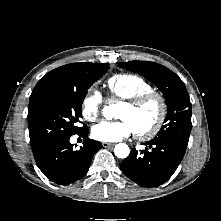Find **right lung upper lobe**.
<instances>
[{
    "label": "right lung upper lobe",
    "mask_w": 221,
    "mask_h": 221,
    "mask_svg": "<svg viewBox=\"0 0 221 221\" xmlns=\"http://www.w3.org/2000/svg\"><path fill=\"white\" fill-rule=\"evenodd\" d=\"M80 64L82 63L58 67L42 77L32 91L29 107L49 89L75 78L78 75Z\"/></svg>",
    "instance_id": "right-lung-upper-lobe-1"
}]
</instances>
